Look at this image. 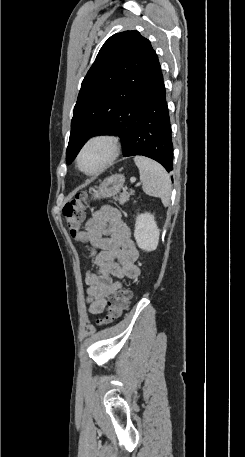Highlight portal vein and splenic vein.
Segmentation results:
<instances>
[{"label": "portal vein and splenic vein", "mask_w": 245, "mask_h": 457, "mask_svg": "<svg viewBox=\"0 0 245 457\" xmlns=\"http://www.w3.org/2000/svg\"><path fill=\"white\" fill-rule=\"evenodd\" d=\"M136 184V178L135 176H131L130 178V187H135Z\"/></svg>", "instance_id": "obj_1"}]
</instances>
